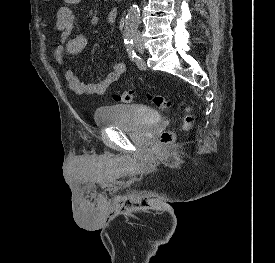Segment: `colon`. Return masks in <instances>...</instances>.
Here are the masks:
<instances>
[{
	"label": "colon",
	"instance_id": "obj_1",
	"mask_svg": "<svg viewBox=\"0 0 275 263\" xmlns=\"http://www.w3.org/2000/svg\"><path fill=\"white\" fill-rule=\"evenodd\" d=\"M113 100L115 102L130 103L135 99V92L133 89L125 90L123 92H116L113 94ZM149 99L158 107L166 108L170 105V102L162 95H150ZM182 106L185 110L182 128L188 130L194 122V114L192 108L185 101H182ZM175 141V134L171 131H165L160 137V144L168 146Z\"/></svg>",
	"mask_w": 275,
	"mask_h": 263
}]
</instances>
